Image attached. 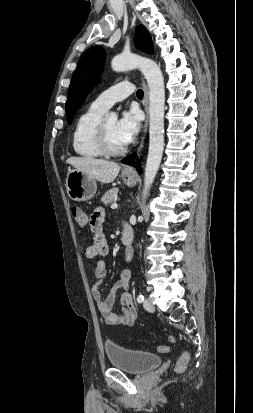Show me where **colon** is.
<instances>
[{
  "label": "colon",
  "instance_id": "obj_1",
  "mask_svg": "<svg viewBox=\"0 0 253 413\" xmlns=\"http://www.w3.org/2000/svg\"><path fill=\"white\" fill-rule=\"evenodd\" d=\"M71 215L72 218L74 219V221L76 222V224L80 227H84L87 224L88 218L87 215L85 214V212L78 206H73L71 207ZM170 341L174 342L175 339L173 336L169 337ZM156 349L159 352H168L169 348L167 346L164 345H159L156 347ZM190 360V354L188 352H184L180 355L178 362L176 364L175 370L176 372H182L185 370V368L187 367L188 363Z\"/></svg>",
  "mask_w": 253,
  "mask_h": 413
}]
</instances>
